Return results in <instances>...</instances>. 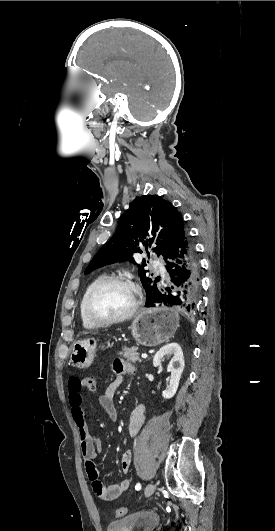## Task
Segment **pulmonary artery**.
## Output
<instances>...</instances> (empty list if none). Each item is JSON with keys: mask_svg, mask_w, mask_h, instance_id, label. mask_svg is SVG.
<instances>
[{"mask_svg": "<svg viewBox=\"0 0 275 531\" xmlns=\"http://www.w3.org/2000/svg\"><path fill=\"white\" fill-rule=\"evenodd\" d=\"M153 267L155 269H158V272L160 274H165L167 272V267L165 266V263L163 260L157 258H153Z\"/></svg>", "mask_w": 275, "mask_h": 531, "instance_id": "e3ab8cb5", "label": "pulmonary artery"}]
</instances>
